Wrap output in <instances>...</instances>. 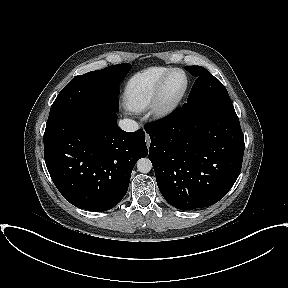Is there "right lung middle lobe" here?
Listing matches in <instances>:
<instances>
[{
	"instance_id": "right-lung-middle-lobe-1",
	"label": "right lung middle lobe",
	"mask_w": 288,
	"mask_h": 288,
	"mask_svg": "<svg viewBox=\"0 0 288 288\" xmlns=\"http://www.w3.org/2000/svg\"><path fill=\"white\" fill-rule=\"evenodd\" d=\"M130 68V64L123 63L75 76L51 106L47 124L82 110L116 113L118 84Z\"/></svg>"
}]
</instances>
